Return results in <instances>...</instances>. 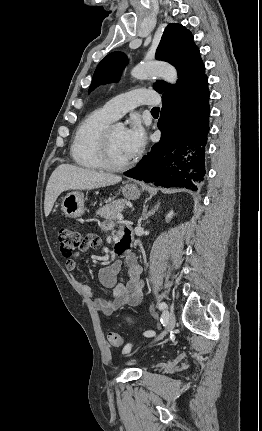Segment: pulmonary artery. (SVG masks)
<instances>
[{"label":"pulmonary artery","instance_id":"e3ab8cb5","mask_svg":"<svg viewBox=\"0 0 262 431\" xmlns=\"http://www.w3.org/2000/svg\"><path fill=\"white\" fill-rule=\"evenodd\" d=\"M158 104L159 98L156 92L146 88H138L113 97L104 104L103 108L113 119H118L139 105Z\"/></svg>","mask_w":262,"mask_h":431}]
</instances>
